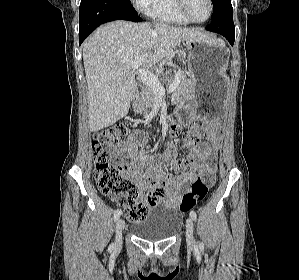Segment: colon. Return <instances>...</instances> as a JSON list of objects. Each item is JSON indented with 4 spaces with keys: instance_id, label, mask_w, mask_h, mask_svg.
I'll return each instance as SVG.
<instances>
[{
    "instance_id": "5ec220e1",
    "label": "colon",
    "mask_w": 299,
    "mask_h": 280,
    "mask_svg": "<svg viewBox=\"0 0 299 280\" xmlns=\"http://www.w3.org/2000/svg\"><path fill=\"white\" fill-rule=\"evenodd\" d=\"M197 133L200 125H189L184 131L185 142L191 154L196 151ZM135 132L125 125L110 127L97 132L92 142L94 155V175L102 194L122 207L125 217L130 222L142 220L148 213V200L137 182L127 176L123 162L115 160L109 148L116 147L136 138ZM176 172H185L191 167V159L180 158L169 161ZM211 183L198 178L191 190L182 199L180 209L183 212L192 210L208 194Z\"/></svg>"
}]
</instances>
